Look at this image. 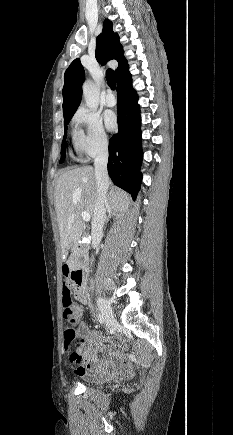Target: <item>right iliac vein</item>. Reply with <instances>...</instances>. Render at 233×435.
<instances>
[{"label":"right iliac vein","instance_id":"right-iliac-vein-1","mask_svg":"<svg viewBox=\"0 0 233 435\" xmlns=\"http://www.w3.org/2000/svg\"><path fill=\"white\" fill-rule=\"evenodd\" d=\"M99 309L106 321V326L109 329L115 322V317L109 303L101 296H97Z\"/></svg>","mask_w":233,"mask_h":435}]
</instances>
